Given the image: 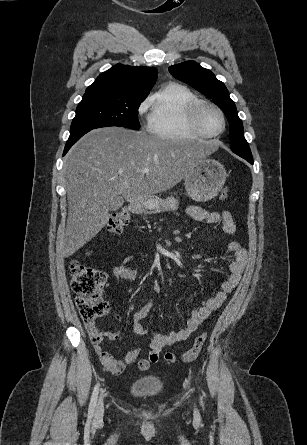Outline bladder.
I'll list each match as a JSON object with an SVG mask.
<instances>
[{"instance_id": "31cf9c89", "label": "bladder", "mask_w": 307, "mask_h": 445, "mask_svg": "<svg viewBox=\"0 0 307 445\" xmlns=\"http://www.w3.org/2000/svg\"><path fill=\"white\" fill-rule=\"evenodd\" d=\"M163 388L164 383L161 379L152 375H145L132 381L130 392L135 397L146 398L158 395Z\"/></svg>"}]
</instances>
